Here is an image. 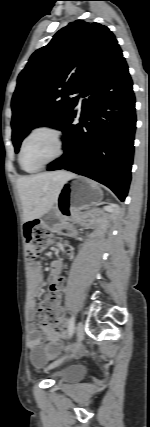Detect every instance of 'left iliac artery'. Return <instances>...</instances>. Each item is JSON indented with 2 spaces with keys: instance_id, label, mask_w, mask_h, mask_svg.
I'll return each mask as SVG.
<instances>
[{
  "instance_id": "44dca946",
  "label": "left iliac artery",
  "mask_w": 150,
  "mask_h": 427,
  "mask_svg": "<svg viewBox=\"0 0 150 427\" xmlns=\"http://www.w3.org/2000/svg\"><path fill=\"white\" fill-rule=\"evenodd\" d=\"M74 328H75V317L72 316L68 322V331H69L70 336H72V334L74 332Z\"/></svg>"
}]
</instances>
